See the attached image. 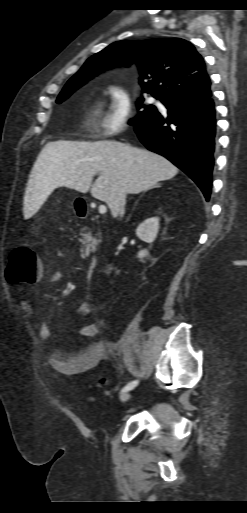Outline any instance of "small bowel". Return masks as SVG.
<instances>
[{"mask_svg": "<svg viewBox=\"0 0 247 513\" xmlns=\"http://www.w3.org/2000/svg\"><path fill=\"white\" fill-rule=\"evenodd\" d=\"M56 259L60 261L63 258L61 251H57ZM52 277L59 279L61 277V270L56 267L52 273ZM23 310L30 316L33 314V308L28 303H23ZM92 306L89 302H82L76 309L78 316L84 317L91 313ZM40 337L49 341L52 337V330L50 326L41 322L38 325ZM79 334L86 340V345L78 352H63L60 350H53L47 356L48 365L57 373L64 375H76L84 373L101 362L109 359L110 357H117L121 352L122 345L117 342L108 344L100 335L97 325L86 323L80 326Z\"/></svg>", "mask_w": 247, "mask_h": 513, "instance_id": "obj_1", "label": "small bowel"}]
</instances>
